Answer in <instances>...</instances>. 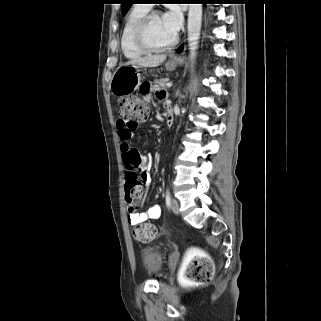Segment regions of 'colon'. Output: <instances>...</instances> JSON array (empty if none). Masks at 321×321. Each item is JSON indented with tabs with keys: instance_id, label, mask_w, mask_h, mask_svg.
I'll list each match as a JSON object with an SVG mask.
<instances>
[{
	"instance_id": "obj_1",
	"label": "colon",
	"mask_w": 321,
	"mask_h": 321,
	"mask_svg": "<svg viewBox=\"0 0 321 321\" xmlns=\"http://www.w3.org/2000/svg\"><path fill=\"white\" fill-rule=\"evenodd\" d=\"M148 114L149 107L141 97L128 96L119 101V120L131 128H136L139 123L144 122ZM145 166L146 162L138 152L130 154L126 164L128 174L125 182L126 203L130 213L137 211L141 203L143 187L138 178V172ZM157 233V228L150 223L140 225L133 231L135 238L143 243L154 240ZM213 273L214 265L211 258L198 248L191 249L185 271L187 279L202 284L208 282Z\"/></svg>"
}]
</instances>
